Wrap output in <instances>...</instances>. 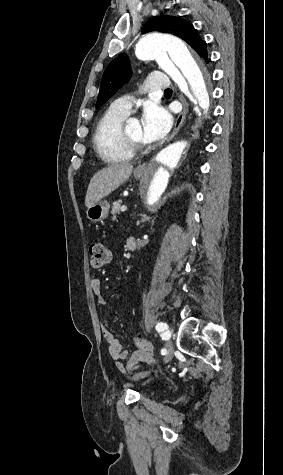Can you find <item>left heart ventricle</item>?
Returning <instances> with one entry per match:
<instances>
[{
  "label": "left heart ventricle",
  "mask_w": 283,
  "mask_h": 475,
  "mask_svg": "<svg viewBox=\"0 0 283 475\" xmlns=\"http://www.w3.org/2000/svg\"><path fill=\"white\" fill-rule=\"evenodd\" d=\"M126 134L130 139L134 141L147 142L143 137L142 125L138 120L126 129Z\"/></svg>",
  "instance_id": "b2bd125f"
}]
</instances>
